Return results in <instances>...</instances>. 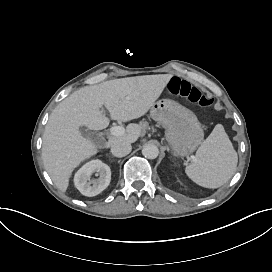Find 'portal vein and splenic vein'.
Returning <instances> with one entry per match:
<instances>
[{
  "label": "portal vein and splenic vein",
  "mask_w": 272,
  "mask_h": 272,
  "mask_svg": "<svg viewBox=\"0 0 272 272\" xmlns=\"http://www.w3.org/2000/svg\"><path fill=\"white\" fill-rule=\"evenodd\" d=\"M110 133L114 136H120L124 134V128L121 126H112L110 128ZM193 161H195V158L193 159Z\"/></svg>",
  "instance_id": "18ae733b"
}]
</instances>
